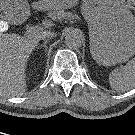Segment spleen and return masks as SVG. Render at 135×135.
<instances>
[{"label": "spleen", "instance_id": "spleen-1", "mask_svg": "<svg viewBox=\"0 0 135 135\" xmlns=\"http://www.w3.org/2000/svg\"><path fill=\"white\" fill-rule=\"evenodd\" d=\"M112 89L118 92L129 91L135 87V58L130 60L122 70L115 69L109 75Z\"/></svg>", "mask_w": 135, "mask_h": 135}]
</instances>
